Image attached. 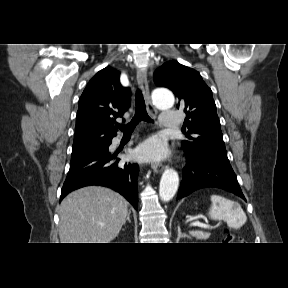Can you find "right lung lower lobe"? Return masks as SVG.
<instances>
[{"label":"right lung lower lobe","instance_id":"right-lung-lower-lobe-1","mask_svg":"<svg viewBox=\"0 0 288 288\" xmlns=\"http://www.w3.org/2000/svg\"><path fill=\"white\" fill-rule=\"evenodd\" d=\"M108 142L79 159L71 160L70 169L61 190L62 200L69 192L89 185H100L114 189L138 208L137 176L139 166L134 163L112 162Z\"/></svg>","mask_w":288,"mask_h":288}]
</instances>
